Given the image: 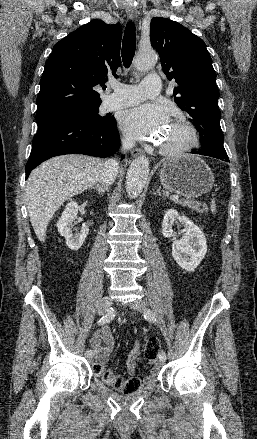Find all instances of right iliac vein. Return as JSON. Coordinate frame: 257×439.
I'll use <instances>...</instances> for the list:
<instances>
[{"instance_id":"63e3f726","label":"right iliac vein","mask_w":257,"mask_h":439,"mask_svg":"<svg viewBox=\"0 0 257 439\" xmlns=\"http://www.w3.org/2000/svg\"><path fill=\"white\" fill-rule=\"evenodd\" d=\"M112 304H113V299L110 296L103 297L99 303L98 313L100 315H103V314L109 312ZM92 360H93V358L90 357V361H92Z\"/></svg>"}]
</instances>
